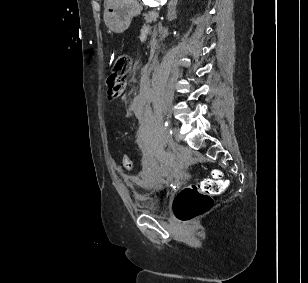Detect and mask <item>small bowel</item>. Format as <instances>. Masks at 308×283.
Returning a JSON list of instances; mask_svg holds the SVG:
<instances>
[{
    "instance_id": "1",
    "label": "small bowel",
    "mask_w": 308,
    "mask_h": 283,
    "mask_svg": "<svg viewBox=\"0 0 308 283\" xmlns=\"http://www.w3.org/2000/svg\"><path fill=\"white\" fill-rule=\"evenodd\" d=\"M125 84L122 86H112L107 82V96L110 100L117 99L123 95ZM126 102L125 97H123ZM147 102L144 93L137 94L132 101L126 104V116L134 115L138 119H143L146 114Z\"/></svg>"
}]
</instances>
